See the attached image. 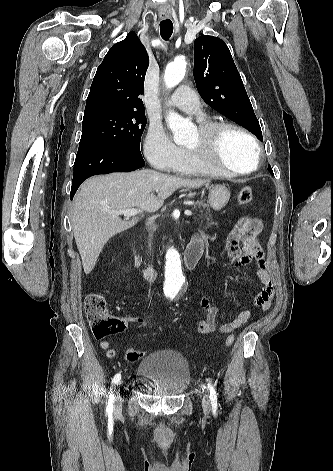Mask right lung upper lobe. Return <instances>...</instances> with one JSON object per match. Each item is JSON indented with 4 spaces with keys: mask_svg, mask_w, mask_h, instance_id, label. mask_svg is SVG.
<instances>
[{
    "mask_svg": "<svg viewBox=\"0 0 333 471\" xmlns=\"http://www.w3.org/2000/svg\"><path fill=\"white\" fill-rule=\"evenodd\" d=\"M148 65L147 51L134 32L113 45L97 68L84 118L110 111H144L139 96L144 93Z\"/></svg>",
    "mask_w": 333,
    "mask_h": 471,
    "instance_id": "right-lung-upper-lobe-1",
    "label": "right lung upper lobe"
}]
</instances>
